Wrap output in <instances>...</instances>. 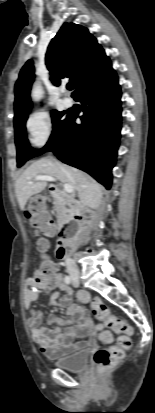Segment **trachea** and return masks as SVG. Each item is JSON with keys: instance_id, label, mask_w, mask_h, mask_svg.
<instances>
[{"instance_id": "1", "label": "trachea", "mask_w": 155, "mask_h": 413, "mask_svg": "<svg viewBox=\"0 0 155 413\" xmlns=\"http://www.w3.org/2000/svg\"><path fill=\"white\" fill-rule=\"evenodd\" d=\"M67 89H68V90H71V89H72V85H71V84H68V85H67Z\"/></svg>"}]
</instances>
